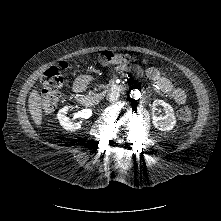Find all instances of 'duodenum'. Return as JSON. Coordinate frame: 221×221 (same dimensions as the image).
<instances>
[{
    "instance_id": "1",
    "label": "duodenum",
    "mask_w": 221,
    "mask_h": 221,
    "mask_svg": "<svg viewBox=\"0 0 221 221\" xmlns=\"http://www.w3.org/2000/svg\"><path fill=\"white\" fill-rule=\"evenodd\" d=\"M88 82V81H86ZM86 82L84 83V88L82 91H78L80 92L81 94L79 95V102L85 106H90L92 105L94 102H96L98 100L97 97H93L85 92L84 89H85V86H86Z\"/></svg>"
}]
</instances>
